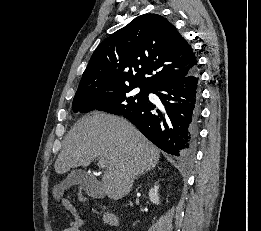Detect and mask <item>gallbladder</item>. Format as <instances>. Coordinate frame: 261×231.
<instances>
[{"instance_id": "bac80fb5", "label": "gallbladder", "mask_w": 261, "mask_h": 231, "mask_svg": "<svg viewBox=\"0 0 261 231\" xmlns=\"http://www.w3.org/2000/svg\"><path fill=\"white\" fill-rule=\"evenodd\" d=\"M73 185H81L82 188L92 196L101 195L104 193L101 190V184L90 174L82 169H76L56 186L54 194L56 196L62 195L64 190Z\"/></svg>"}]
</instances>
